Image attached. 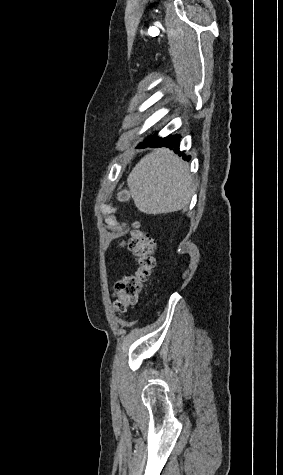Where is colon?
I'll return each mask as SVG.
<instances>
[{"label":"colon","instance_id":"1","mask_svg":"<svg viewBox=\"0 0 283 475\" xmlns=\"http://www.w3.org/2000/svg\"><path fill=\"white\" fill-rule=\"evenodd\" d=\"M128 246L134 261L139 264V270L127 273L116 281L112 293L115 298L112 308L116 312H125L138 303L144 282L154 264V241L139 228L132 231Z\"/></svg>","mask_w":283,"mask_h":475}]
</instances>
